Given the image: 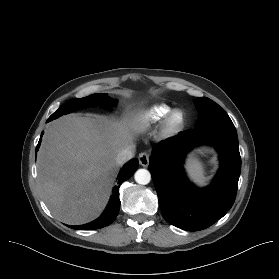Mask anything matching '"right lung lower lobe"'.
<instances>
[{"mask_svg": "<svg viewBox=\"0 0 279 279\" xmlns=\"http://www.w3.org/2000/svg\"><path fill=\"white\" fill-rule=\"evenodd\" d=\"M49 122V121H47ZM43 134V132H42ZM42 135L40 137L39 143L36 147V152L39 149L40 143H41ZM138 167V160L136 158L130 160L120 171L118 175V181L117 184L113 188V193L110 198L109 204L106 207L105 211L102 213V215L96 219L95 221L85 224V225H80V226H68L73 229L77 230H94L98 228H102L105 226H108L111 224L115 218L118 215L119 208H120V200H119V187L120 185L128 180L137 170Z\"/></svg>", "mask_w": 279, "mask_h": 279, "instance_id": "98d812e1", "label": "right lung lower lobe"}]
</instances>
